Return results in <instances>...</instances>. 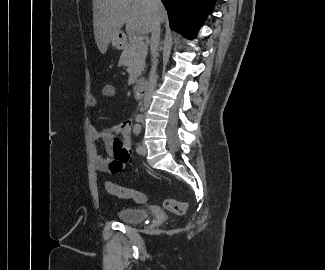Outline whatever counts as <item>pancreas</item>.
Masks as SVG:
<instances>
[{"mask_svg": "<svg viewBox=\"0 0 325 270\" xmlns=\"http://www.w3.org/2000/svg\"><path fill=\"white\" fill-rule=\"evenodd\" d=\"M148 48L138 47L136 42L130 41L124 48L120 60V66L135 67L137 76H140L142 71H144L145 59L147 56Z\"/></svg>", "mask_w": 325, "mask_h": 270, "instance_id": "pancreas-1", "label": "pancreas"}]
</instances>
